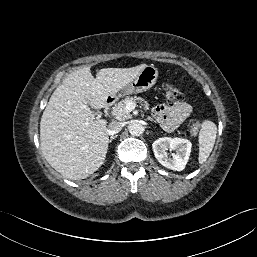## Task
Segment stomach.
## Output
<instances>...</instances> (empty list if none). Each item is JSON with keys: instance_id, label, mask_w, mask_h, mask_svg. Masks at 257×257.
<instances>
[{"instance_id": "1", "label": "stomach", "mask_w": 257, "mask_h": 257, "mask_svg": "<svg viewBox=\"0 0 257 257\" xmlns=\"http://www.w3.org/2000/svg\"><path fill=\"white\" fill-rule=\"evenodd\" d=\"M158 69L154 65H146L142 71L124 88L125 94H137L150 89L157 81Z\"/></svg>"}]
</instances>
